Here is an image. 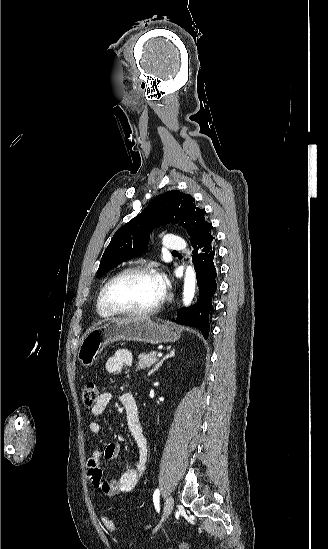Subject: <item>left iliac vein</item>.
I'll list each match as a JSON object with an SVG mask.
<instances>
[{
	"mask_svg": "<svg viewBox=\"0 0 328 549\" xmlns=\"http://www.w3.org/2000/svg\"><path fill=\"white\" fill-rule=\"evenodd\" d=\"M174 505V499L171 495H168L166 497L165 506H164V520L170 515L172 512Z\"/></svg>",
	"mask_w": 328,
	"mask_h": 549,
	"instance_id": "obj_1",
	"label": "left iliac vein"
}]
</instances>
